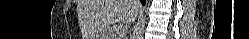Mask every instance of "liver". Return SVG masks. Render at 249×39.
Listing matches in <instances>:
<instances>
[{
    "instance_id": "1",
    "label": "liver",
    "mask_w": 249,
    "mask_h": 39,
    "mask_svg": "<svg viewBox=\"0 0 249 39\" xmlns=\"http://www.w3.org/2000/svg\"><path fill=\"white\" fill-rule=\"evenodd\" d=\"M139 6L136 0H80L78 13L85 39L99 37L112 23L133 22Z\"/></svg>"
}]
</instances>
